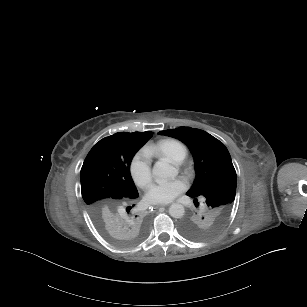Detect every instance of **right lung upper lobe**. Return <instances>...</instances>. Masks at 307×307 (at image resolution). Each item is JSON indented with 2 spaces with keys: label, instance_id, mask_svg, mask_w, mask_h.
<instances>
[{
  "label": "right lung upper lobe",
  "instance_id": "1",
  "mask_svg": "<svg viewBox=\"0 0 307 307\" xmlns=\"http://www.w3.org/2000/svg\"><path fill=\"white\" fill-rule=\"evenodd\" d=\"M151 137V132L115 133L100 140L88 153L87 160L97 161L119 182V189L113 195L86 203L90 215L102 230L139 237L147 228L149 217L138 199L130 163Z\"/></svg>",
  "mask_w": 307,
  "mask_h": 307
}]
</instances>
